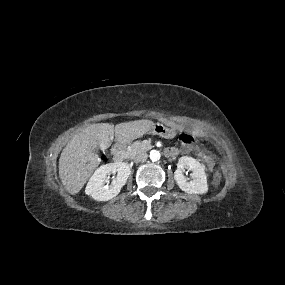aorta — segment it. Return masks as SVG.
<instances>
[{
  "label": "aorta",
  "instance_id": "762f6f07",
  "mask_svg": "<svg viewBox=\"0 0 285 285\" xmlns=\"http://www.w3.org/2000/svg\"><path fill=\"white\" fill-rule=\"evenodd\" d=\"M149 157H150V159H151L153 162H155V161H158V160L160 159L161 154H160V152L157 151V150H152V151L150 152Z\"/></svg>",
  "mask_w": 285,
  "mask_h": 285
}]
</instances>
